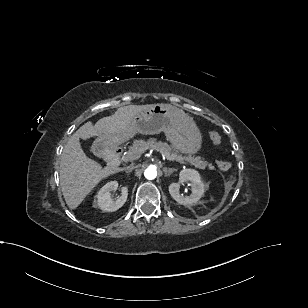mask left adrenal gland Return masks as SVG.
<instances>
[{
  "instance_id": "a2214340",
  "label": "left adrenal gland",
  "mask_w": 308,
  "mask_h": 308,
  "mask_svg": "<svg viewBox=\"0 0 308 308\" xmlns=\"http://www.w3.org/2000/svg\"><path fill=\"white\" fill-rule=\"evenodd\" d=\"M163 171H164V174H165V176H169L171 173H173L174 171H176V169H174V168H164L163 169Z\"/></svg>"
}]
</instances>
